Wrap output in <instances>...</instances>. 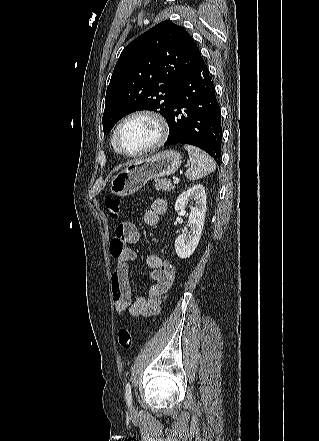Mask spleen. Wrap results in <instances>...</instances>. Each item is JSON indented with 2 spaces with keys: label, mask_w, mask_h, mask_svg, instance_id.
Returning a JSON list of instances; mask_svg holds the SVG:
<instances>
[{
  "label": "spleen",
  "mask_w": 319,
  "mask_h": 441,
  "mask_svg": "<svg viewBox=\"0 0 319 441\" xmlns=\"http://www.w3.org/2000/svg\"><path fill=\"white\" fill-rule=\"evenodd\" d=\"M184 148L191 164L185 173L187 179L194 181L215 170V162L207 153L192 145H185Z\"/></svg>",
  "instance_id": "1"
}]
</instances>
